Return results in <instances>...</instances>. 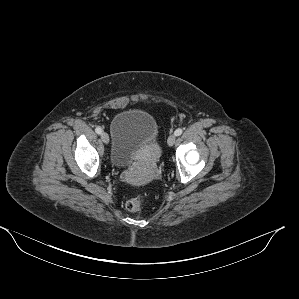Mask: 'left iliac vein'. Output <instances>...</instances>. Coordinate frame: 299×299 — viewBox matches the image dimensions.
Wrapping results in <instances>:
<instances>
[{
	"mask_svg": "<svg viewBox=\"0 0 299 299\" xmlns=\"http://www.w3.org/2000/svg\"><path fill=\"white\" fill-rule=\"evenodd\" d=\"M175 141H176V135L172 134L169 136L167 143L169 146H173Z\"/></svg>",
	"mask_w": 299,
	"mask_h": 299,
	"instance_id": "obj_1",
	"label": "left iliac vein"
}]
</instances>
